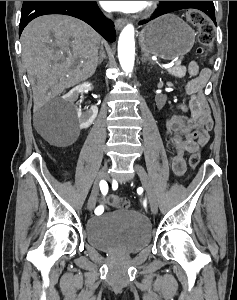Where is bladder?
Returning a JSON list of instances; mask_svg holds the SVG:
<instances>
[{
    "label": "bladder",
    "instance_id": "obj_1",
    "mask_svg": "<svg viewBox=\"0 0 237 300\" xmlns=\"http://www.w3.org/2000/svg\"><path fill=\"white\" fill-rule=\"evenodd\" d=\"M85 233L88 243L100 251L133 254L150 243L152 227L148 218L137 211L117 210L92 216Z\"/></svg>",
    "mask_w": 237,
    "mask_h": 300
}]
</instances>
